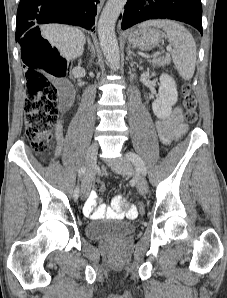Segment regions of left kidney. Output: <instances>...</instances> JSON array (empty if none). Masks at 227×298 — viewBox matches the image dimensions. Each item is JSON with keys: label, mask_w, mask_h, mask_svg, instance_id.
<instances>
[{"label": "left kidney", "mask_w": 227, "mask_h": 298, "mask_svg": "<svg viewBox=\"0 0 227 298\" xmlns=\"http://www.w3.org/2000/svg\"><path fill=\"white\" fill-rule=\"evenodd\" d=\"M160 87L157 99L152 103L154 114L160 118L165 119L170 116L172 106L176 104L178 99L177 87L174 79L168 74L160 76Z\"/></svg>", "instance_id": "left-kidney-1"}]
</instances>
